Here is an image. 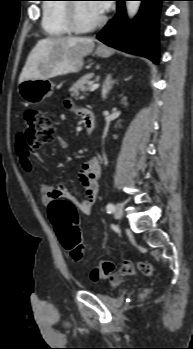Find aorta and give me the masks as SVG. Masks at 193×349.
Here are the masks:
<instances>
[{"instance_id":"aorta-1","label":"aorta","mask_w":193,"mask_h":349,"mask_svg":"<svg viewBox=\"0 0 193 349\" xmlns=\"http://www.w3.org/2000/svg\"><path fill=\"white\" fill-rule=\"evenodd\" d=\"M140 1H127L126 2V9H127V14L128 17L131 19L133 18L136 13L138 12L139 8H140Z\"/></svg>"}]
</instances>
